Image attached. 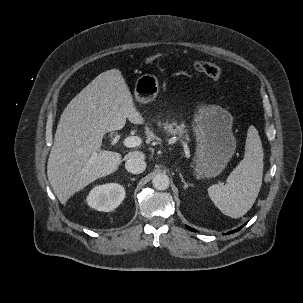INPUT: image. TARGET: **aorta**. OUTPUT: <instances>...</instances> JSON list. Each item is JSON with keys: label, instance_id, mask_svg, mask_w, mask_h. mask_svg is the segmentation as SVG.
Listing matches in <instances>:
<instances>
[{"label": "aorta", "instance_id": "obj_1", "mask_svg": "<svg viewBox=\"0 0 303 303\" xmlns=\"http://www.w3.org/2000/svg\"><path fill=\"white\" fill-rule=\"evenodd\" d=\"M152 184L157 190H166L169 187V177L165 173H159L154 176Z\"/></svg>", "mask_w": 303, "mask_h": 303}]
</instances>
